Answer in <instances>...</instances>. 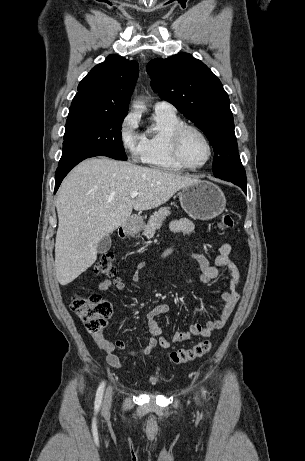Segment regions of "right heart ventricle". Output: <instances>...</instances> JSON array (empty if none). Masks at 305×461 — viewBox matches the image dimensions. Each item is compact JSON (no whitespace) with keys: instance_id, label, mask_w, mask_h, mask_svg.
Wrapping results in <instances>:
<instances>
[{"instance_id":"1","label":"right heart ventricle","mask_w":305,"mask_h":461,"mask_svg":"<svg viewBox=\"0 0 305 461\" xmlns=\"http://www.w3.org/2000/svg\"><path fill=\"white\" fill-rule=\"evenodd\" d=\"M183 121L174 112L155 111L154 123L140 136L139 159L154 168L180 172L184 168L174 159L170 139Z\"/></svg>"}]
</instances>
